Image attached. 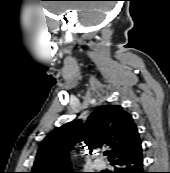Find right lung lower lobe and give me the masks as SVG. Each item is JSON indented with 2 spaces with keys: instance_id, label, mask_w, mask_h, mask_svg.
<instances>
[{
  "instance_id": "obj_1",
  "label": "right lung lower lobe",
  "mask_w": 170,
  "mask_h": 173,
  "mask_svg": "<svg viewBox=\"0 0 170 173\" xmlns=\"http://www.w3.org/2000/svg\"><path fill=\"white\" fill-rule=\"evenodd\" d=\"M115 166L114 173H146L143 171L141 144L111 161Z\"/></svg>"
}]
</instances>
